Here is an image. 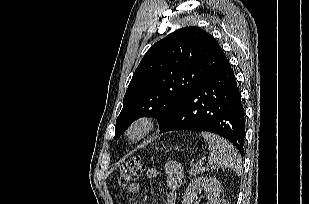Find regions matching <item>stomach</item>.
<instances>
[{"instance_id":"0dacf381","label":"stomach","mask_w":309,"mask_h":204,"mask_svg":"<svg viewBox=\"0 0 309 204\" xmlns=\"http://www.w3.org/2000/svg\"><path fill=\"white\" fill-rule=\"evenodd\" d=\"M175 149L180 150V147L177 146Z\"/></svg>"}]
</instances>
